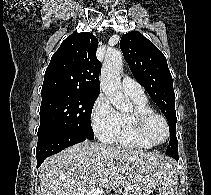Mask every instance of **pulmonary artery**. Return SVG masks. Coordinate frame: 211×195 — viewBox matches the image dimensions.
Segmentation results:
<instances>
[{
  "label": "pulmonary artery",
  "mask_w": 211,
  "mask_h": 195,
  "mask_svg": "<svg viewBox=\"0 0 211 195\" xmlns=\"http://www.w3.org/2000/svg\"><path fill=\"white\" fill-rule=\"evenodd\" d=\"M121 84H122V89L126 95L132 96V97H144L145 96L144 89L134 79H132L128 76H124L122 78Z\"/></svg>",
  "instance_id": "1"
}]
</instances>
